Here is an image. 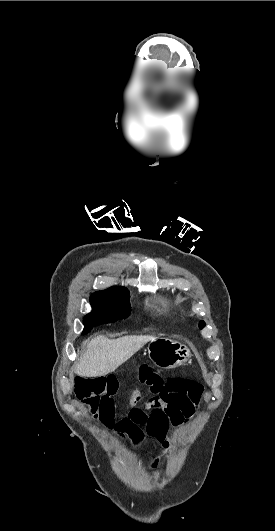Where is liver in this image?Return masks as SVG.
I'll list each match as a JSON object with an SVG mask.
<instances>
[{"label": "liver", "mask_w": 275, "mask_h": 531, "mask_svg": "<svg viewBox=\"0 0 275 531\" xmlns=\"http://www.w3.org/2000/svg\"><path fill=\"white\" fill-rule=\"evenodd\" d=\"M152 339L154 337L150 335H139V337L131 335L120 339H107L99 335L88 343L85 351H82L79 363L74 367L75 373L80 377L109 375Z\"/></svg>", "instance_id": "liver-1"}]
</instances>
